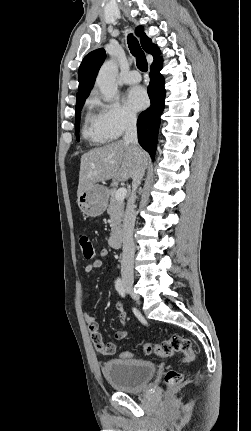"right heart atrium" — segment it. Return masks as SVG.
<instances>
[{"mask_svg":"<svg viewBox=\"0 0 251 431\" xmlns=\"http://www.w3.org/2000/svg\"><path fill=\"white\" fill-rule=\"evenodd\" d=\"M90 104L96 110L97 127L109 139L120 137L125 131L136 125V114L117 100L103 102L94 97Z\"/></svg>","mask_w":251,"mask_h":431,"instance_id":"d8ad5b80","label":"right heart atrium"}]
</instances>
